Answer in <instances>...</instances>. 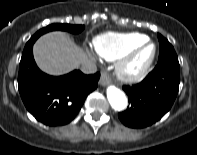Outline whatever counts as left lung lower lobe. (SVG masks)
Wrapping results in <instances>:
<instances>
[{
  "mask_svg": "<svg viewBox=\"0 0 197 155\" xmlns=\"http://www.w3.org/2000/svg\"><path fill=\"white\" fill-rule=\"evenodd\" d=\"M179 83V63H158L140 83L123 86L130 106L118 114L119 119L131 128L152 125L172 107L178 93Z\"/></svg>",
  "mask_w": 197,
  "mask_h": 155,
  "instance_id": "1",
  "label": "left lung lower lobe"
}]
</instances>
